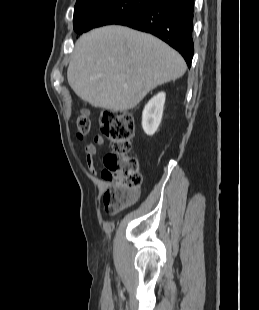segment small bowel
I'll return each mask as SVG.
<instances>
[{
  "mask_svg": "<svg viewBox=\"0 0 259 310\" xmlns=\"http://www.w3.org/2000/svg\"><path fill=\"white\" fill-rule=\"evenodd\" d=\"M104 143L105 141L103 137L96 136L94 138V142L87 144L84 148L86 165L92 175H95L97 172L95 166V156L97 154L98 146H102Z\"/></svg>",
  "mask_w": 259,
  "mask_h": 310,
  "instance_id": "c3829d8e",
  "label": "small bowel"
}]
</instances>
